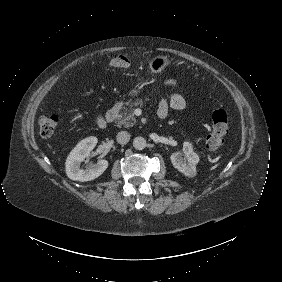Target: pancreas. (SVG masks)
I'll return each mask as SVG.
<instances>
[{"label": "pancreas", "mask_w": 282, "mask_h": 282, "mask_svg": "<svg viewBox=\"0 0 282 282\" xmlns=\"http://www.w3.org/2000/svg\"><path fill=\"white\" fill-rule=\"evenodd\" d=\"M142 103L141 100L134 103H127V107L124 108L122 114L119 116L117 120V124L119 127H129L134 126L136 124V117L134 115L135 107L140 106Z\"/></svg>", "instance_id": "obj_1"}]
</instances>
